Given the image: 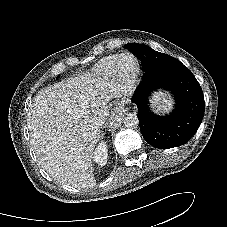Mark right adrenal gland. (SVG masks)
<instances>
[{
  "instance_id": "2a0ac1e0",
  "label": "right adrenal gland",
  "mask_w": 227,
  "mask_h": 227,
  "mask_svg": "<svg viewBox=\"0 0 227 227\" xmlns=\"http://www.w3.org/2000/svg\"><path fill=\"white\" fill-rule=\"evenodd\" d=\"M102 138H103V133L100 132V133L98 134V139L100 140V139H102Z\"/></svg>"
}]
</instances>
